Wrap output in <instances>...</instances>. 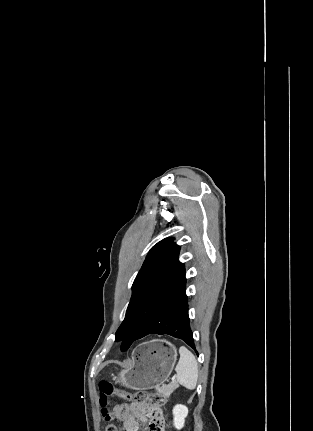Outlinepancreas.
<instances>
[{"mask_svg":"<svg viewBox=\"0 0 313 431\" xmlns=\"http://www.w3.org/2000/svg\"><path fill=\"white\" fill-rule=\"evenodd\" d=\"M178 387V384L173 382L170 385L157 387L156 391L165 399H167L170 394Z\"/></svg>","mask_w":313,"mask_h":431,"instance_id":"obj_1","label":"pancreas"}]
</instances>
